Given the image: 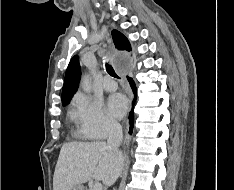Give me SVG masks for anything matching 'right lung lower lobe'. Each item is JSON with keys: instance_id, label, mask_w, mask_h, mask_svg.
I'll return each instance as SVG.
<instances>
[{"instance_id": "obj_1", "label": "right lung lower lobe", "mask_w": 234, "mask_h": 190, "mask_svg": "<svg viewBox=\"0 0 234 190\" xmlns=\"http://www.w3.org/2000/svg\"><path fill=\"white\" fill-rule=\"evenodd\" d=\"M132 89H133V92H134V95H135V98L133 100V103L132 105L134 106V103L136 101V87H135V84H134V81L132 78H129L127 77ZM133 122H134V114H133V110L130 112V115H129V123H130V133L132 132V129H133Z\"/></svg>"}]
</instances>
